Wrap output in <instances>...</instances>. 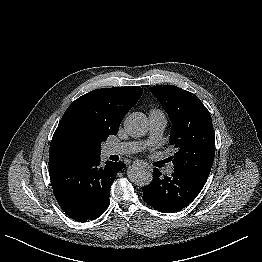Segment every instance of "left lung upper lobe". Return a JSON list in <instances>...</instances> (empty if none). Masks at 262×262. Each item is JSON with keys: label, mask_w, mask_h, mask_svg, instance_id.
Wrapping results in <instances>:
<instances>
[{"label": "left lung upper lobe", "mask_w": 262, "mask_h": 262, "mask_svg": "<svg viewBox=\"0 0 262 262\" xmlns=\"http://www.w3.org/2000/svg\"><path fill=\"white\" fill-rule=\"evenodd\" d=\"M157 97L170 117V144L177 148L171 160L175 170L207 179L215 156L211 115L192 93L174 85L154 86Z\"/></svg>", "instance_id": "1"}]
</instances>
